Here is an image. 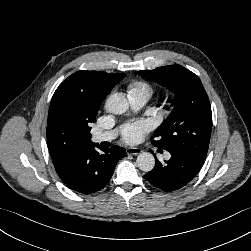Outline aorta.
<instances>
[{"label": "aorta", "mask_w": 251, "mask_h": 251, "mask_svg": "<svg viewBox=\"0 0 251 251\" xmlns=\"http://www.w3.org/2000/svg\"><path fill=\"white\" fill-rule=\"evenodd\" d=\"M106 109L116 115L125 113L129 108L127 98L122 94H113L106 101ZM137 166L144 172L151 171L155 166V158L149 152L140 153L137 157Z\"/></svg>", "instance_id": "aorta-1"}]
</instances>
